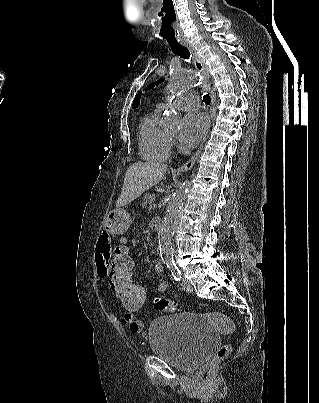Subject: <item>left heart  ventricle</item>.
I'll use <instances>...</instances> for the list:
<instances>
[{
  "mask_svg": "<svg viewBox=\"0 0 319 403\" xmlns=\"http://www.w3.org/2000/svg\"><path fill=\"white\" fill-rule=\"evenodd\" d=\"M168 134H169L170 136L174 137V136L177 134V130L169 131Z\"/></svg>",
  "mask_w": 319,
  "mask_h": 403,
  "instance_id": "obj_1",
  "label": "left heart ventricle"
}]
</instances>
